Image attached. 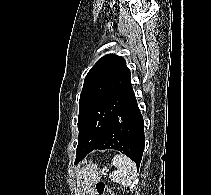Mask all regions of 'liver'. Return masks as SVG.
I'll use <instances>...</instances> for the list:
<instances>
[{
    "mask_svg": "<svg viewBox=\"0 0 211 195\" xmlns=\"http://www.w3.org/2000/svg\"><path fill=\"white\" fill-rule=\"evenodd\" d=\"M82 174H83V171H81L79 174H78V180H77V184L79 185L80 184V181L82 179Z\"/></svg>",
    "mask_w": 211,
    "mask_h": 195,
    "instance_id": "1",
    "label": "liver"
}]
</instances>
